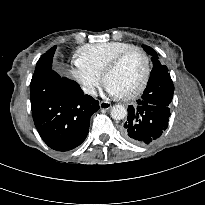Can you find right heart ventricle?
<instances>
[{"mask_svg": "<svg viewBox=\"0 0 205 205\" xmlns=\"http://www.w3.org/2000/svg\"><path fill=\"white\" fill-rule=\"evenodd\" d=\"M132 47L124 42L87 44L77 51V61L101 76L107 64L120 52Z\"/></svg>", "mask_w": 205, "mask_h": 205, "instance_id": "obj_1", "label": "right heart ventricle"}]
</instances>
